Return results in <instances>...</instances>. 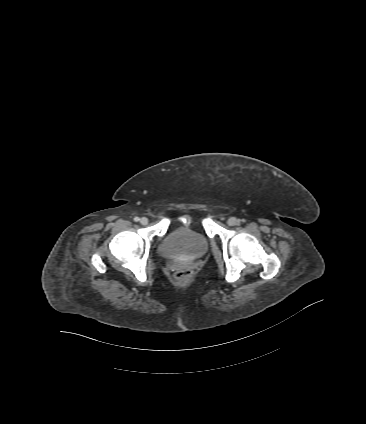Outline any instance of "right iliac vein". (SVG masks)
<instances>
[{
  "label": "right iliac vein",
  "instance_id": "obj_1",
  "mask_svg": "<svg viewBox=\"0 0 366 424\" xmlns=\"http://www.w3.org/2000/svg\"><path fill=\"white\" fill-rule=\"evenodd\" d=\"M140 223H141L142 225H147V224H148V218H146V217H142V218L140 219Z\"/></svg>",
  "mask_w": 366,
  "mask_h": 424
}]
</instances>
